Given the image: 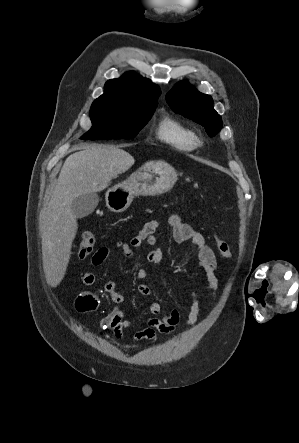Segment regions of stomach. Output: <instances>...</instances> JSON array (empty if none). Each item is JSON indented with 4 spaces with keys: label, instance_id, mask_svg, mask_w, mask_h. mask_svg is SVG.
I'll return each mask as SVG.
<instances>
[{
    "label": "stomach",
    "instance_id": "obj_1",
    "mask_svg": "<svg viewBox=\"0 0 299 443\" xmlns=\"http://www.w3.org/2000/svg\"><path fill=\"white\" fill-rule=\"evenodd\" d=\"M176 181L177 173L169 164L146 163L126 181L107 190L106 205L113 212H122L130 206L134 196L163 194L171 190Z\"/></svg>",
    "mask_w": 299,
    "mask_h": 443
}]
</instances>
